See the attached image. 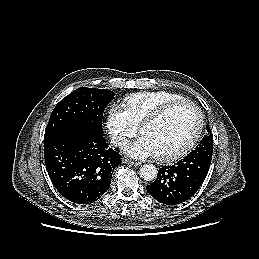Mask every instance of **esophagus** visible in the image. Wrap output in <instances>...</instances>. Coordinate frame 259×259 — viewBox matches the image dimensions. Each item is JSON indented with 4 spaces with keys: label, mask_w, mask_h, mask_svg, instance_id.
<instances>
[{
    "label": "esophagus",
    "mask_w": 259,
    "mask_h": 259,
    "mask_svg": "<svg viewBox=\"0 0 259 259\" xmlns=\"http://www.w3.org/2000/svg\"><path fill=\"white\" fill-rule=\"evenodd\" d=\"M123 162L126 163V164H131L133 166H140L141 165V162H135V161H131L129 159H124Z\"/></svg>",
    "instance_id": "1"
}]
</instances>
